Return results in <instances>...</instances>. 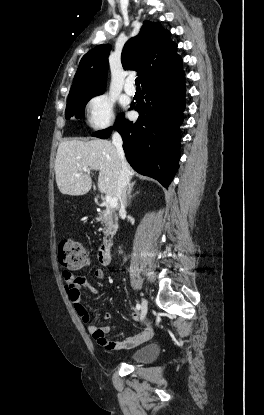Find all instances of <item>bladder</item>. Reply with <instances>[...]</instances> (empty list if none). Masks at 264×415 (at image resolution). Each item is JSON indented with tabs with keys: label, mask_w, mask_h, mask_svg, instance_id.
Segmentation results:
<instances>
[{
	"label": "bladder",
	"mask_w": 264,
	"mask_h": 415,
	"mask_svg": "<svg viewBox=\"0 0 264 415\" xmlns=\"http://www.w3.org/2000/svg\"><path fill=\"white\" fill-rule=\"evenodd\" d=\"M160 352V346H158L157 344H149L136 350L132 354L131 360L135 363L146 364L157 358Z\"/></svg>",
	"instance_id": "bladder-1"
}]
</instances>
